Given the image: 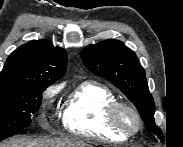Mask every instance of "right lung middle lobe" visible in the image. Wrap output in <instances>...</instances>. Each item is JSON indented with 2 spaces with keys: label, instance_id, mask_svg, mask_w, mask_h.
<instances>
[{
  "label": "right lung middle lobe",
  "instance_id": "obj_1",
  "mask_svg": "<svg viewBox=\"0 0 183 147\" xmlns=\"http://www.w3.org/2000/svg\"><path fill=\"white\" fill-rule=\"evenodd\" d=\"M48 86L44 82L0 86V140L31 124V115L39 109Z\"/></svg>",
  "mask_w": 183,
  "mask_h": 147
}]
</instances>
